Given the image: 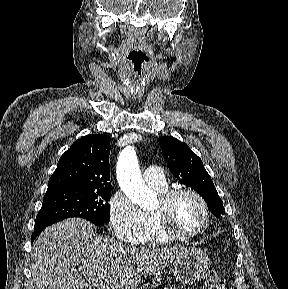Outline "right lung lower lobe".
Wrapping results in <instances>:
<instances>
[{
    "mask_svg": "<svg viewBox=\"0 0 288 289\" xmlns=\"http://www.w3.org/2000/svg\"><path fill=\"white\" fill-rule=\"evenodd\" d=\"M44 228H40V229H35L32 236H31V239H32V242L33 240L37 237V235L43 230Z\"/></svg>",
    "mask_w": 288,
    "mask_h": 289,
    "instance_id": "right-lung-lower-lobe-1",
    "label": "right lung lower lobe"
}]
</instances>
